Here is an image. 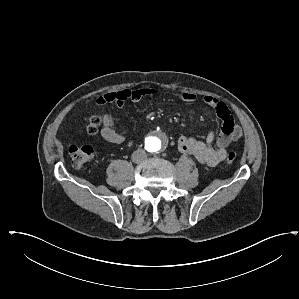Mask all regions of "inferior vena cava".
I'll use <instances>...</instances> for the list:
<instances>
[{
	"label": "inferior vena cava",
	"mask_w": 299,
	"mask_h": 299,
	"mask_svg": "<svg viewBox=\"0 0 299 299\" xmlns=\"http://www.w3.org/2000/svg\"><path fill=\"white\" fill-rule=\"evenodd\" d=\"M147 155L143 149H138L132 154V161L135 163H142L145 161Z\"/></svg>",
	"instance_id": "1"
}]
</instances>
